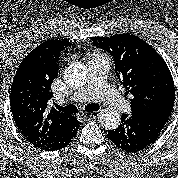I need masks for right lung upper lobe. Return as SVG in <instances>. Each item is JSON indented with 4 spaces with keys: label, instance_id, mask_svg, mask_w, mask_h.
Returning <instances> with one entry per match:
<instances>
[{
    "label": "right lung upper lobe",
    "instance_id": "obj_1",
    "mask_svg": "<svg viewBox=\"0 0 178 178\" xmlns=\"http://www.w3.org/2000/svg\"><path fill=\"white\" fill-rule=\"evenodd\" d=\"M70 45L58 39L44 41L23 58L13 78L10 91L13 120L21 135L37 148L55 140L77 121L50 108L48 103L52 97L51 84L58 75L60 53Z\"/></svg>",
    "mask_w": 178,
    "mask_h": 178
}]
</instances>
